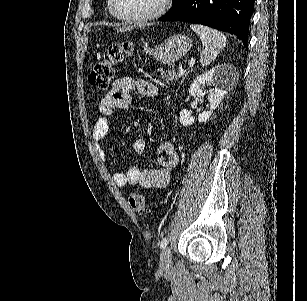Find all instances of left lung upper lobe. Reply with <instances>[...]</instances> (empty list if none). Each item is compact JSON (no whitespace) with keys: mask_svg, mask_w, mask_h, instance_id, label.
Returning <instances> with one entry per match:
<instances>
[{"mask_svg":"<svg viewBox=\"0 0 307 301\" xmlns=\"http://www.w3.org/2000/svg\"><path fill=\"white\" fill-rule=\"evenodd\" d=\"M181 0H175V3L173 6H175L176 4H178Z\"/></svg>","mask_w":307,"mask_h":301,"instance_id":"left-lung-upper-lobe-1","label":"left lung upper lobe"}]
</instances>
